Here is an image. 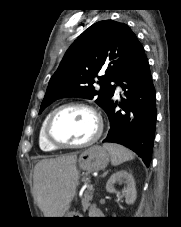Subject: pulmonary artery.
Instances as JSON below:
<instances>
[{
	"mask_svg": "<svg viewBox=\"0 0 181 227\" xmlns=\"http://www.w3.org/2000/svg\"><path fill=\"white\" fill-rule=\"evenodd\" d=\"M121 93V88L118 86L117 88H116V95H119Z\"/></svg>",
	"mask_w": 181,
	"mask_h": 227,
	"instance_id": "obj_1",
	"label": "pulmonary artery"
}]
</instances>
